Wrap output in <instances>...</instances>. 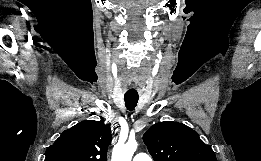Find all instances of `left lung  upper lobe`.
I'll return each mask as SVG.
<instances>
[{
    "instance_id": "5c2ea615",
    "label": "left lung upper lobe",
    "mask_w": 261,
    "mask_h": 161,
    "mask_svg": "<svg viewBox=\"0 0 261 161\" xmlns=\"http://www.w3.org/2000/svg\"><path fill=\"white\" fill-rule=\"evenodd\" d=\"M143 140L154 161H217L211 145L204 144L196 131L182 123H156Z\"/></svg>"
}]
</instances>
